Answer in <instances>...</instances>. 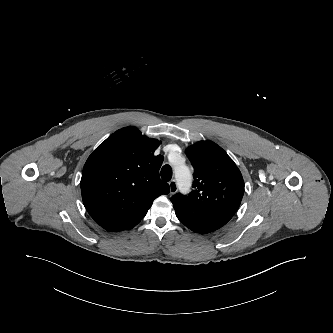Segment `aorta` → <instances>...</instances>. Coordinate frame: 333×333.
<instances>
[{
    "mask_svg": "<svg viewBox=\"0 0 333 333\" xmlns=\"http://www.w3.org/2000/svg\"><path fill=\"white\" fill-rule=\"evenodd\" d=\"M178 187L182 192H187L191 184V172L184 163H176L173 170Z\"/></svg>",
    "mask_w": 333,
    "mask_h": 333,
    "instance_id": "obj_1",
    "label": "aorta"
}]
</instances>
